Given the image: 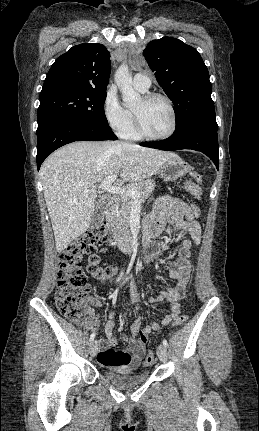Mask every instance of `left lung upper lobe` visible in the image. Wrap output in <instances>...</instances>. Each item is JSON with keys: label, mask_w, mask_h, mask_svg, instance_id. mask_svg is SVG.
Here are the masks:
<instances>
[{"label": "left lung upper lobe", "mask_w": 259, "mask_h": 431, "mask_svg": "<svg viewBox=\"0 0 259 431\" xmlns=\"http://www.w3.org/2000/svg\"><path fill=\"white\" fill-rule=\"evenodd\" d=\"M143 55L175 106V131L193 123L217 126L208 69L195 48L163 37L151 41Z\"/></svg>", "instance_id": "obj_1"}]
</instances>
